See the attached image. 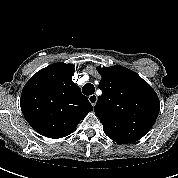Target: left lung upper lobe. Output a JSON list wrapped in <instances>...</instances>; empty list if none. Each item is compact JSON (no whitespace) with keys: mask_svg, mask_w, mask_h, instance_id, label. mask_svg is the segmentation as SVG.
<instances>
[{"mask_svg":"<svg viewBox=\"0 0 178 178\" xmlns=\"http://www.w3.org/2000/svg\"><path fill=\"white\" fill-rule=\"evenodd\" d=\"M102 95L94 107L105 134L118 143L141 139L155 123L160 102L153 88L133 71L116 65L97 68Z\"/></svg>","mask_w":178,"mask_h":178,"instance_id":"1","label":"left lung upper lobe"}]
</instances>
